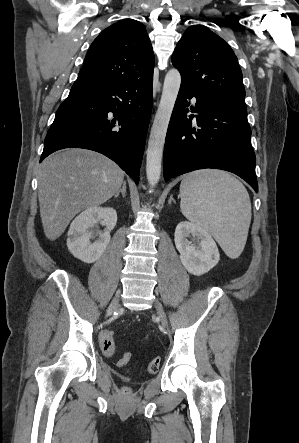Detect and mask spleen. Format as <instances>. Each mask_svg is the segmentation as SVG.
Masks as SVG:
<instances>
[{"label":"spleen","mask_w":299,"mask_h":443,"mask_svg":"<svg viewBox=\"0 0 299 443\" xmlns=\"http://www.w3.org/2000/svg\"><path fill=\"white\" fill-rule=\"evenodd\" d=\"M182 214L208 231L230 258L244 249L251 221V202L243 184L229 173L202 170L180 185Z\"/></svg>","instance_id":"spleen-1"}]
</instances>
